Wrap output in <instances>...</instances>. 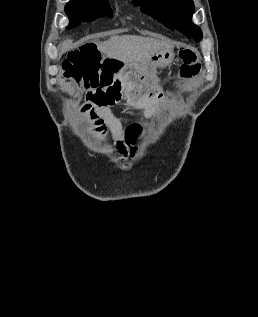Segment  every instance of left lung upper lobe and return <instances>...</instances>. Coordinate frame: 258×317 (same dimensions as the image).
Listing matches in <instances>:
<instances>
[{"mask_svg":"<svg viewBox=\"0 0 258 317\" xmlns=\"http://www.w3.org/2000/svg\"><path fill=\"white\" fill-rule=\"evenodd\" d=\"M134 5H142L141 10L171 29H177L188 38L200 41L202 31L191 22L194 13L193 0H133Z\"/></svg>","mask_w":258,"mask_h":317,"instance_id":"1","label":"left lung upper lobe"}]
</instances>
